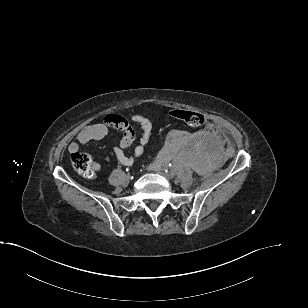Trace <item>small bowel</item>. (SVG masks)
Returning <instances> with one entry per match:
<instances>
[{
  "label": "small bowel",
  "mask_w": 308,
  "mask_h": 308,
  "mask_svg": "<svg viewBox=\"0 0 308 308\" xmlns=\"http://www.w3.org/2000/svg\"><path fill=\"white\" fill-rule=\"evenodd\" d=\"M131 121L137 123L142 130L139 142L134 147L132 156H127L125 154V149L133 145L136 139L135 131L127 119L115 114L106 115L103 122L88 125L83 128L77 135L78 142L70 143L68 147L69 152L73 153L77 151L79 149V143L85 144L90 141L102 140L108 137L111 131L116 130L121 132L122 137L119 145L114 148V155L121 165L131 166L135 159L141 157L144 153V149L150 140L153 128L151 119L145 115L133 114L131 115ZM93 168L95 172H98L100 170V165L94 163Z\"/></svg>",
  "instance_id": "c3829d8e"
}]
</instances>
